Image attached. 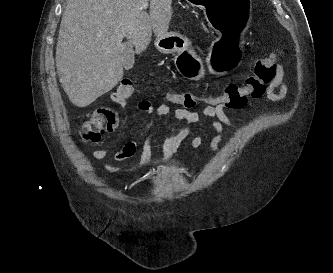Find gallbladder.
Listing matches in <instances>:
<instances>
[{
	"instance_id": "gallbladder-1",
	"label": "gallbladder",
	"mask_w": 333,
	"mask_h": 273,
	"mask_svg": "<svg viewBox=\"0 0 333 273\" xmlns=\"http://www.w3.org/2000/svg\"><path fill=\"white\" fill-rule=\"evenodd\" d=\"M121 56H122V61H121L122 67L125 70H130L134 65V51H133V46L130 42L122 44Z\"/></svg>"
}]
</instances>
